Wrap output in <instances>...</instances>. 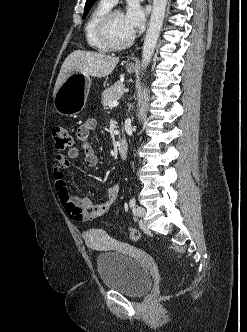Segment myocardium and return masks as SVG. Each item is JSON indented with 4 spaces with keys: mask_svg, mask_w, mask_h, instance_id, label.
Here are the masks:
<instances>
[{
    "mask_svg": "<svg viewBox=\"0 0 247 332\" xmlns=\"http://www.w3.org/2000/svg\"><path fill=\"white\" fill-rule=\"evenodd\" d=\"M121 12V10L116 8L109 9L99 20L96 26V34L98 39L101 41L103 45H105L108 49L111 50H120L124 49L127 46H129L134 38L135 33L133 32L126 40L122 42H114L109 33L110 23L112 20V17L115 13Z\"/></svg>",
    "mask_w": 247,
    "mask_h": 332,
    "instance_id": "obj_1",
    "label": "myocardium"
}]
</instances>
